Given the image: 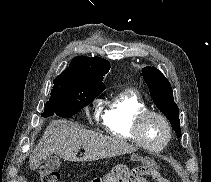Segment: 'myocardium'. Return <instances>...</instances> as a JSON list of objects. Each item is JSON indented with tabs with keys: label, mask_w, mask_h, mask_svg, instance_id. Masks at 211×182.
<instances>
[{
	"label": "myocardium",
	"mask_w": 211,
	"mask_h": 182,
	"mask_svg": "<svg viewBox=\"0 0 211 182\" xmlns=\"http://www.w3.org/2000/svg\"><path fill=\"white\" fill-rule=\"evenodd\" d=\"M149 116H156L158 118H160L163 123L165 124V127L167 129V136L166 139L158 146H151L148 145L142 136V125L143 122L145 121L146 118H148ZM133 135L134 138L136 140V142L143 148L150 150V151H160L163 148H165L171 141L172 139V135H173V131H172V127L170 124V121L168 120V118L161 112L156 111V110H150V109H146L141 111L137 117L135 118L134 121V125H133Z\"/></svg>",
	"instance_id": "1"
}]
</instances>
